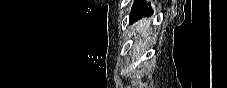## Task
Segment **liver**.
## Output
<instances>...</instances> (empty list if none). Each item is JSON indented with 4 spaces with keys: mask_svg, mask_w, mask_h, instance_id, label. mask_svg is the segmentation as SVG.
<instances>
[{
    "mask_svg": "<svg viewBox=\"0 0 227 88\" xmlns=\"http://www.w3.org/2000/svg\"><path fill=\"white\" fill-rule=\"evenodd\" d=\"M149 25H150V20L149 19H143L140 20L138 23H136L135 26V30L138 32L139 34V40H138V45L137 47H142L143 43H142V38L144 40H147L149 38Z\"/></svg>",
    "mask_w": 227,
    "mask_h": 88,
    "instance_id": "6515ba94",
    "label": "liver"
}]
</instances>
